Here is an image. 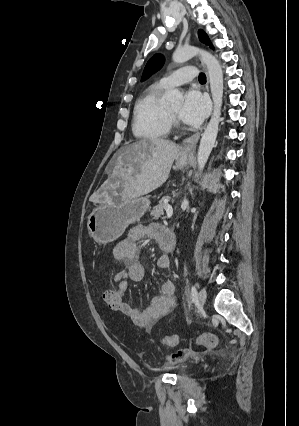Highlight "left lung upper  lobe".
I'll list each match as a JSON object with an SVG mask.
<instances>
[{
  "mask_svg": "<svg viewBox=\"0 0 299 426\" xmlns=\"http://www.w3.org/2000/svg\"><path fill=\"white\" fill-rule=\"evenodd\" d=\"M198 36L201 42L205 43L206 45H209L212 47V44L207 36V34L203 30L198 31ZM164 64V58L162 55L156 54L154 55L146 64L143 75H142V81L148 78L151 74L159 70Z\"/></svg>",
  "mask_w": 299,
  "mask_h": 426,
  "instance_id": "left-lung-upper-lobe-1",
  "label": "left lung upper lobe"
}]
</instances>
